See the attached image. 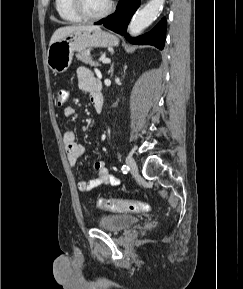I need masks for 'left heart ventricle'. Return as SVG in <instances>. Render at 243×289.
I'll return each instance as SVG.
<instances>
[{"mask_svg": "<svg viewBox=\"0 0 243 289\" xmlns=\"http://www.w3.org/2000/svg\"><path fill=\"white\" fill-rule=\"evenodd\" d=\"M110 0H84V6L88 13L97 14L104 11Z\"/></svg>", "mask_w": 243, "mask_h": 289, "instance_id": "left-heart-ventricle-1", "label": "left heart ventricle"}]
</instances>
